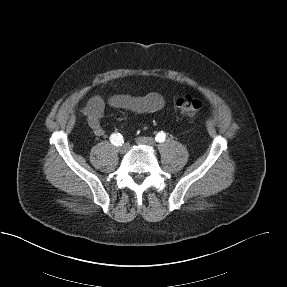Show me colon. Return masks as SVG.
I'll use <instances>...</instances> for the list:
<instances>
[{
	"label": "colon",
	"mask_w": 287,
	"mask_h": 287,
	"mask_svg": "<svg viewBox=\"0 0 287 287\" xmlns=\"http://www.w3.org/2000/svg\"><path fill=\"white\" fill-rule=\"evenodd\" d=\"M174 106L181 115L194 117L202 110L203 103L191 95H185L175 98Z\"/></svg>",
	"instance_id": "obj_1"
}]
</instances>
